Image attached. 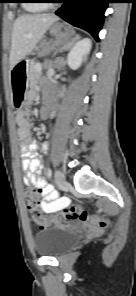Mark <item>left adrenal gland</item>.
<instances>
[{
	"label": "left adrenal gland",
	"instance_id": "obj_1",
	"mask_svg": "<svg viewBox=\"0 0 136 296\" xmlns=\"http://www.w3.org/2000/svg\"><path fill=\"white\" fill-rule=\"evenodd\" d=\"M80 38V35L73 34V37H70L66 44L62 45L60 52L70 49L73 45L76 44V41ZM58 69H61L65 65V61L62 58L57 59Z\"/></svg>",
	"mask_w": 136,
	"mask_h": 296
}]
</instances>
